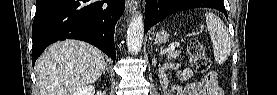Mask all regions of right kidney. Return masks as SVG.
Returning a JSON list of instances; mask_svg holds the SVG:
<instances>
[{
	"instance_id": "right-kidney-1",
	"label": "right kidney",
	"mask_w": 277,
	"mask_h": 95,
	"mask_svg": "<svg viewBox=\"0 0 277 95\" xmlns=\"http://www.w3.org/2000/svg\"><path fill=\"white\" fill-rule=\"evenodd\" d=\"M95 87L92 85L84 86L77 90L74 95H94Z\"/></svg>"
}]
</instances>
